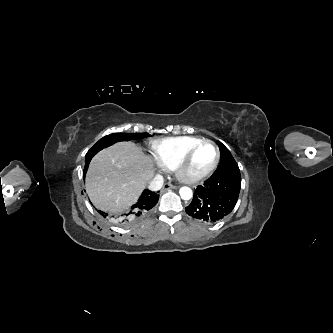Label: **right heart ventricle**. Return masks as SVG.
Returning a JSON list of instances; mask_svg holds the SVG:
<instances>
[{"instance_id":"e07e8e85","label":"right heart ventricle","mask_w":333,"mask_h":333,"mask_svg":"<svg viewBox=\"0 0 333 333\" xmlns=\"http://www.w3.org/2000/svg\"><path fill=\"white\" fill-rule=\"evenodd\" d=\"M202 138L194 136L168 137L152 144L158 162L166 169H174L182 155Z\"/></svg>"}]
</instances>
